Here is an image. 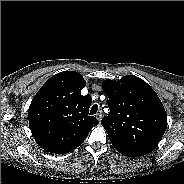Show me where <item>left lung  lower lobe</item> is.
<instances>
[{
    "instance_id": "obj_1",
    "label": "left lung lower lobe",
    "mask_w": 184,
    "mask_h": 184,
    "mask_svg": "<svg viewBox=\"0 0 184 184\" xmlns=\"http://www.w3.org/2000/svg\"><path fill=\"white\" fill-rule=\"evenodd\" d=\"M113 146L115 147V149L117 151H119L121 154H123L125 156L140 157V156L146 155V154H143V153L136 151L134 149L127 148L123 145L113 144Z\"/></svg>"
}]
</instances>
